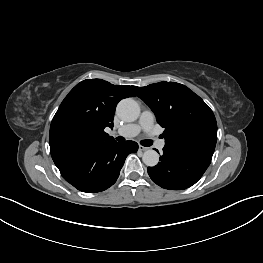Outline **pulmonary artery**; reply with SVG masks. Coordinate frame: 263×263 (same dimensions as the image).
I'll return each instance as SVG.
<instances>
[{"label":"pulmonary artery","instance_id":"obj_1","mask_svg":"<svg viewBox=\"0 0 263 263\" xmlns=\"http://www.w3.org/2000/svg\"><path fill=\"white\" fill-rule=\"evenodd\" d=\"M153 125H154V114L149 110H145L142 112L138 123L126 125L120 128L119 130H117L115 133L126 137H133L139 134V132L142 130L147 133L152 132ZM156 146L162 149L165 146V142L159 140L157 141Z\"/></svg>","mask_w":263,"mask_h":263}]
</instances>
